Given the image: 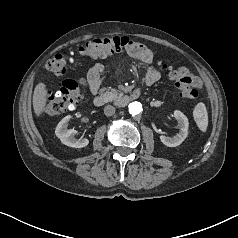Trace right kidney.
Instances as JSON below:
<instances>
[{
    "label": "right kidney",
    "instance_id": "ca27d5eb",
    "mask_svg": "<svg viewBox=\"0 0 238 238\" xmlns=\"http://www.w3.org/2000/svg\"><path fill=\"white\" fill-rule=\"evenodd\" d=\"M71 119V115L64 117L57 125L55 129L56 136L61 140V142L72 148H83L89 144L88 139H76L74 134L77 133L74 129H67L68 122Z\"/></svg>",
    "mask_w": 238,
    "mask_h": 238
}]
</instances>
